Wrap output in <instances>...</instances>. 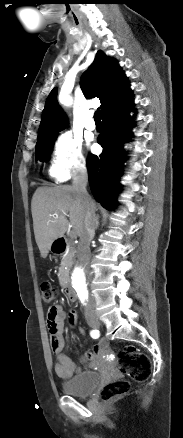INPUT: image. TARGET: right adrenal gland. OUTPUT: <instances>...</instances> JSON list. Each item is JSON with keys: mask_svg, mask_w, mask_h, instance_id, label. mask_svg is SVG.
I'll list each match as a JSON object with an SVG mask.
<instances>
[{"mask_svg": "<svg viewBox=\"0 0 183 438\" xmlns=\"http://www.w3.org/2000/svg\"><path fill=\"white\" fill-rule=\"evenodd\" d=\"M95 224H96L95 228L98 229V227H99V216L98 215L95 217Z\"/></svg>", "mask_w": 183, "mask_h": 438, "instance_id": "2a0ac1e0", "label": "right adrenal gland"}]
</instances>
